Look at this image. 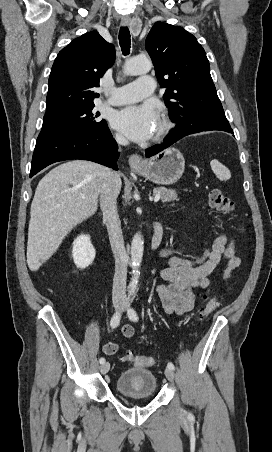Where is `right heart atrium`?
Listing matches in <instances>:
<instances>
[{"mask_svg":"<svg viewBox=\"0 0 272 452\" xmlns=\"http://www.w3.org/2000/svg\"><path fill=\"white\" fill-rule=\"evenodd\" d=\"M115 138L120 143L124 142V138L120 134H115Z\"/></svg>","mask_w":272,"mask_h":452,"instance_id":"right-heart-atrium-1","label":"right heart atrium"}]
</instances>
